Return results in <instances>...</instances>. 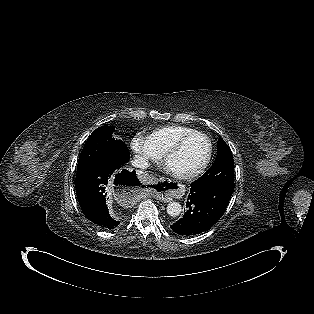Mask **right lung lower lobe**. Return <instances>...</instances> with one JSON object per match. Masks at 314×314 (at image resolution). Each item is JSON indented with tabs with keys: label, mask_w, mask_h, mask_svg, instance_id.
Returning a JSON list of instances; mask_svg holds the SVG:
<instances>
[{
	"label": "right lung lower lobe",
	"mask_w": 314,
	"mask_h": 314,
	"mask_svg": "<svg viewBox=\"0 0 314 314\" xmlns=\"http://www.w3.org/2000/svg\"><path fill=\"white\" fill-rule=\"evenodd\" d=\"M127 161H111L93 167L75 179L77 198L85 217L104 229H114L120 224L118 216L111 215L106 205L108 181L114 176L122 183L135 187L139 185L135 171L129 172L124 168Z\"/></svg>",
	"instance_id": "obj_1"
}]
</instances>
